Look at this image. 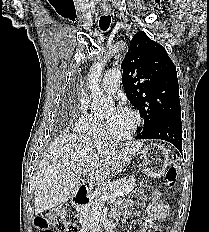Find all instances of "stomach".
<instances>
[{
	"label": "stomach",
	"instance_id": "0dacf381",
	"mask_svg": "<svg viewBox=\"0 0 209 232\" xmlns=\"http://www.w3.org/2000/svg\"><path fill=\"white\" fill-rule=\"evenodd\" d=\"M142 167L148 177L159 178L165 174L170 164V152L165 146L151 143L140 151Z\"/></svg>",
	"mask_w": 209,
	"mask_h": 232
}]
</instances>
